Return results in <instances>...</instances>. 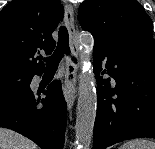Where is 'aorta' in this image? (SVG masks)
I'll use <instances>...</instances> for the list:
<instances>
[{
	"instance_id": "1",
	"label": "aorta",
	"mask_w": 155,
	"mask_h": 149,
	"mask_svg": "<svg viewBox=\"0 0 155 149\" xmlns=\"http://www.w3.org/2000/svg\"><path fill=\"white\" fill-rule=\"evenodd\" d=\"M78 44L81 49L82 73L79 77L75 149H89L97 111L95 77L89 62L94 39L90 33H82L78 38Z\"/></svg>"
}]
</instances>
